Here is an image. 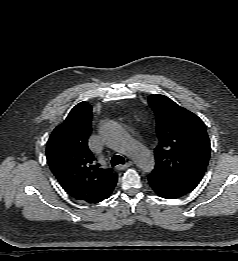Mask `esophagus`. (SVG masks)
<instances>
[{
  "label": "esophagus",
  "mask_w": 238,
  "mask_h": 261,
  "mask_svg": "<svg viewBox=\"0 0 238 261\" xmlns=\"http://www.w3.org/2000/svg\"><path fill=\"white\" fill-rule=\"evenodd\" d=\"M133 163L131 161L127 162L126 164L124 165H118L116 167L117 170H124V169H127L128 167H130Z\"/></svg>",
  "instance_id": "34e87169"
}]
</instances>
